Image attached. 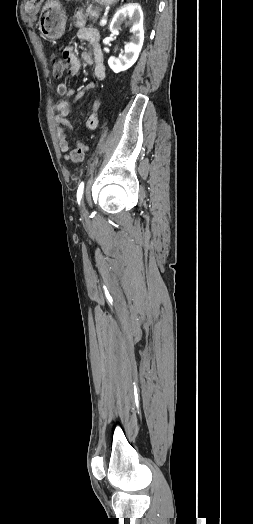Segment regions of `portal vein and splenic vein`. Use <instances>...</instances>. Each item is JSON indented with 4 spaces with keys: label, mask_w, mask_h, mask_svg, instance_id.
<instances>
[{
    "label": "portal vein and splenic vein",
    "mask_w": 253,
    "mask_h": 524,
    "mask_svg": "<svg viewBox=\"0 0 253 524\" xmlns=\"http://www.w3.org/2000/svg\"><path fill=\"white\" fill-rule=\"evenodd\" d=\"M106 23H107L106 18H102V20L100 21V25L104 26V25H106Z\"/></svg>",
    "instance_id": "1"
}]
</instances>
